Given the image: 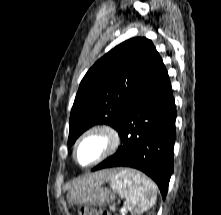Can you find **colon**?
Segmentation results:
<instances>
[{"label":"colon","instance_id":"colon-1","mask_svg":"<svg viewBox=\"0 0 221 215\" xmlns=\"http://www.w3.org/2000/svg\"><path fill=\"white\" fill-rule=\"evenodd\" d=\"M79 215H109V213L94 207H83Z\"/></svg>","mask_w":221,"mask_h":215}]
</instances>
